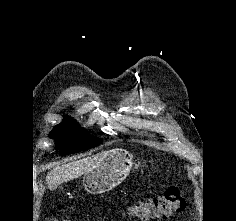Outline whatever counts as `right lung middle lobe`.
Returning <instances> with one entry per match:
<instances>
[{
	"mask_svg": "<svg viewBox=\"0 0 236 221\" xmlns=\"http://www.w3.org/2000/svg\"><path fill=\"white\" fill-rule=\"evenodd\" d=\"M50 137L57 140V145L63 155L83 151L101 143L100 138L87 135L85 130L80 129L78 124L68 117L53 128Z\"/></svg>",
	"mask_w": 236,
	"mask_h": 221,
	"instance_id": "1",
	"label": "right lung middle lobe"
}]
</instances>
